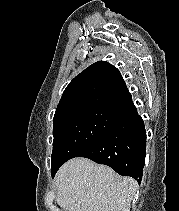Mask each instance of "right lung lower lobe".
<instances>
[{"label":"right lung lower lobe","instance_id":"98d812e1","mask_svg":"<svg viewBox=\"0 0 179 211\" xmlns=\"http://www.w3.org/2000/svg\"><path fill=\"white\" fill-rule=\"evenodd\" d=\"M146 156V132L143 119L131 101L109 131L95 144L79 153L99 164L113 168L122 176H130L140 184ZM59 167L51 170L52 177Z\"/></svg>","mask_w":179,"mask_h":211}]
</instances>
